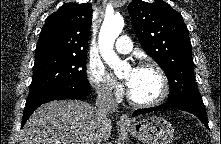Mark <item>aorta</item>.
Instances as JSON below:
<instances>
[{"label":"aorta","instance_id":"obj_1","mask_svg":"<svg viewBox=\"0 0 221 144\" xmlns=\"http://www.w3.org/2000/svg\"><path fill=\"white\" fill-rule=\"evenodd\" d=\"M124 27V19L120 15L105 18L99 33L100 54L105 63L119 77L129 67V64L122 61L114 51V43Z\"/></svg>","mask_w":221,"mask_h":144}]
</instances>
